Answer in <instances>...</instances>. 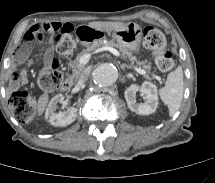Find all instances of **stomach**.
<instances>
[{
    "label": "stomach",
    "mask_w": 215,
    "mask_h": 183,
    "mask_svg": "<svg viewBox=\"0 0 215 183\" xmlns=\"http://www.w3.org/2000/svg\"><path fill=\"white\" fill-rule=\"evenodd\" d=\"M110 35L124 48L135 54L139 52L142 39V30L139 25L128 23L124 28L112 31Z\"/></svg>",
    "instance_id": "0dacf381"
}]
</instances>
